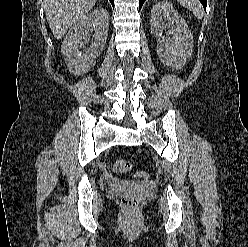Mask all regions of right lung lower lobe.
Segmentation results:
<instances>
[{
	"mask_svg": "<svg viewBox=\"0 0 248 247\" xmlns=\"http://www.w3.org/2000/svg\"><path fill=\"white\" fill-rule=\"evenodd\" d=\"M110 2H111V4L113 5V7H114V0H110Z\"/></svg>",
	"mask_w": 248,
	"mask_h": 247,
	"instance_id": "right-lung-lower-lobe-1",
	"label": "right lung lower lobe"
}]
</instances>
